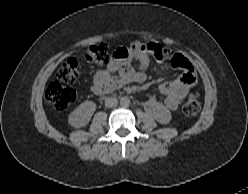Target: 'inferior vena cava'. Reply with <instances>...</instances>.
<instances>
[{
  "label": "inferior vena cava",
  "instance_id": "obj_1",
  "mask_svg": "<svg viewBox=\"0 0 248 194\" xmlns=\"http://www.w3.org/2000/svg\"><path fill=\"white\" fill-rule=\"evenodd\" d=\"M117 104H118V101L116 98L109 97V98L105 99V106L108 108L115 107V106H117Z\"/></svg>",
  "mask_w": 248,
  "mask_h": 194
}]
</instances>
